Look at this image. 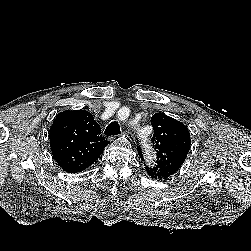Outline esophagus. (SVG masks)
Instances as JSON below:
<instances>
[{"mask_svg": "<svg viewBox=\"0 0 251 251\" xmlns=\"http://www.w3.org/2000/svg\"><path fill=\"white\" fill-rule=\"evenodd\" d=\"M124 134L127 136V138L129 139L130 142H134L135 138L133 136V134L130 131H125Z\"/></svg>", "mask_w": 251, "mask_h": 251, "instance_id": "esophagus-1", "label": "esophagus"}]
</instances>
